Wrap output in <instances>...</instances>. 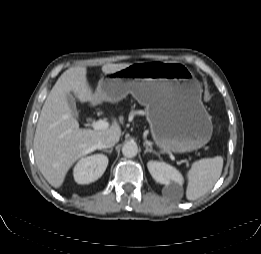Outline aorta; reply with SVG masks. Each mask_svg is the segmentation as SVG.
Masks as SVG:
<instances>
[{
  "label": "aorta",
  "mask_w": 261,
  "mask_h": 254,
  "mask_svg": "<svg viewBox=\"0 0 261 254\" xmlns=\"http://www.w3.org/2000/svg\"><path fill=\"white\" fill-rule=\"evenodd\" d=\"M138 153V146L135 142H127L122 147V154L127 158H133Z\"/></svg>",
  "instance_id": "obj_1"
}]
</instances>
